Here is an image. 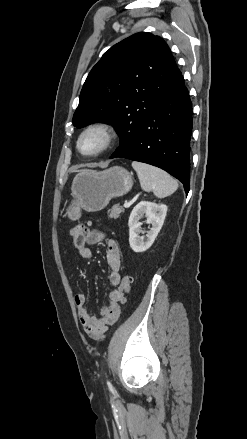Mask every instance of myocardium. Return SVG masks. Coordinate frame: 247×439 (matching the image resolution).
I'll return each mask as SVG.
<instances>
[{"instance_id": "myocardium-1", "label": "myocardium", "mask_w": 247, "mask_h": 439, "mask_svg": "<svg viewBox=\"0 0 247 439\" xmlns=\"http://www.w3.org/2000/svg\"><path fill=\"white\" fill-rule=\"evenodd\" d=\"M90 132H99L103 136V143L102 145L93 152H84L81 148V141L84 138L85 135H87ZM117 137L116 130L113 125L106 121H94L90 124H88L79 134L76 147L80 154L87 157H93L100 155L101 153L108 150L115 142Z\"/></svg>"}]
</instances>
